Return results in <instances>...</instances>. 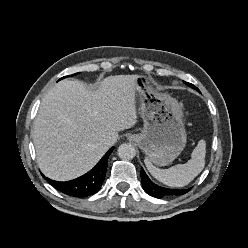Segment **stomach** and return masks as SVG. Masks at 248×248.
Segmentation results:
<instances>
[{
  "label": "stomach",
  "instance_id": "obj_1",
  "mask_svg": "<svg viewBox=\"0 0 248 248\" xmlns=\"http://www.w3.org/2000/svg\"><path fill=\"white\" fill-rule=\"evenodd\" d=\"M136 85L144 126L140 134L130 135L129 139L137 143L152 164L169 165L186 145L181 105L170 95L155 90L145 75L137 76Z\"/></svg>",
  "mask_w": 248,
  "mask_h": 248
}]
</instances>
